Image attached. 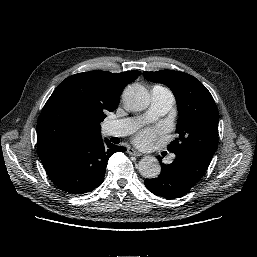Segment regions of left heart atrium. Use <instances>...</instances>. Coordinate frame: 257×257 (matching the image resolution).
Listing matches in <instances>:
<instances>
[{"label":"left heart atrium","instance_id":"1","mask_svg":"<svg viewBox=\"0 0 257 257\" xmlns=\"http://www.w3.org/2000/svg\"><path fill=\"white\" fill-rule=\"evenodd\" d=\"M158 129L146 128L142 129L135 136V143L142 147H148L153 144L159 134Z\"/></svg>","mask_w":257,"mask_h":257}]
</instances>
